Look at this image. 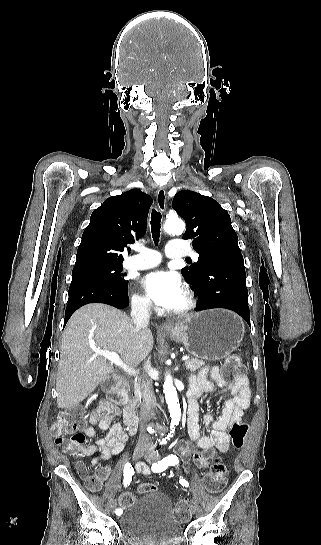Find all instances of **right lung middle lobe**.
<instances>
[{"label": "right lung middle lobe", "mask_w": 321, "mask_h": 545, "mask_svg": "<svg viewBox=\"0 0 321 545\" xmlns=\"http://www.w3.org/2000/svg\"><path fill=\"white\" fill-rule=\"evenodd\" d=\"M122 269V264L91 265L83 268L73 269L72 278L90 277L101 279L118 286H125L127 285L128 281L124 280V276H126V273L122 274Z\"/></svg>", "instance_id": "dd1d6c3e"}]
</instances>
